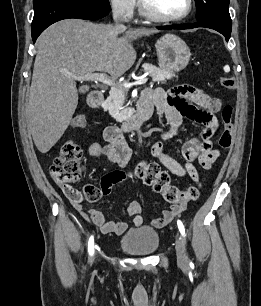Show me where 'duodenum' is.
I'll return each mask as SVG.
<instances>
[{
  "label": "duodenum",
  "mask_w": 261,
  "mask_h": 306,
  "mask_svg": "<svg viewBox=\"0 0 261 306\" xmlns=\"http://www.w3.org/2000/svg\"><path fill=\"white\" fill-rule=\"evenodd\" d=\"M103 101L104 95L101 92H94L88 98V104L93 108L99 107ZM152 113V105L148 101L141 98L136 111L123 124V129L125 131L138 129L152 116Z\"/></svg>",
  "instance_id": "410a0bca"
}]
</instances>
